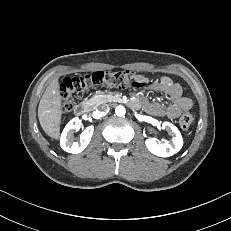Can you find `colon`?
I'll list each match as a JSON object with an SVG mask.
<instances>
[{"mask_svg":"<svg viewBox=\"0 0 231 231\" xmlns=\"http://www.w3.org/2000/svg\"><path fill=\"white\" fill-rule=\"evenodd\" d=\"M139 73L132 71H96L79 77L64 79L60 91L63 100L62 110L68 113L74 104L75 99L89 88L99 87L103 89H126L144 86V82L139 80ZM193 122V115L189 111H184L179 118V125L183 130H187Z\"/></svg>","mask_w":231,"mask_h":231,"instance_id":"1","label":"colon"}]
</instances>
